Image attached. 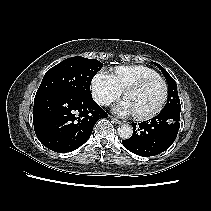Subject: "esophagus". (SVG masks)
Segmentation results:
<instances>
[{
	"label": "esophagus",
	"mask_w": 211,
	"mask_h": 211,
	"mask_svg": "<svg viewBox=\"0 0 211 211\" xmlns=\"http://www.w3.org/2000/svg\"><path fill=\"white\" fill-rule=\"evenodd\" d=\"M111 120H112L114 123H116V124H121V123H122L121 120H119V119H117V118H114V117H111Z\"/></svg>",
	"instance_id": "1"
}]
</instances>
